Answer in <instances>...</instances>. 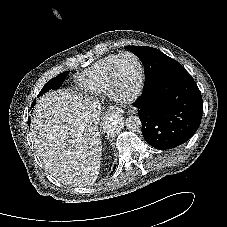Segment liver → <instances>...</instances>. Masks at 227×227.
<instances>
[{
	"mask_svg": "<svg viewBox=\"0 0 227 227\" xmlns=\"http://www.w3.org/2000/svg\"><path fill=\"white\" fill-rule=\"evenodd\" d=\"M87 100L68 91L41 96L31 116V135L45 168L64 184L92 185L101 165L98 120Z\"/></svg>",
	"mask_w": 227,
	"mask_h": 227,
	"instance_id": "obj_1",
	"label": "liver"
}]
</instances>
